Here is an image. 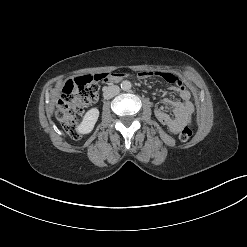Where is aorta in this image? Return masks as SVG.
<instances>
[{
  "mask_svg": "<svg viewBox=\"0 0 247 247\" xmlns=\"http://www.w3.org/2000/svg\"><path fill=\"white\" fill-rule=\"evenodd\" d=\"M131 87H132V84L128 80H125L121 83V89L124 91H129L131 89Z\"/></svg>",
  "mask_w": 247,
  "mask_h": 247,
  "instance_id": "aorta-1",
  "label": "aorta"
}]
</instances>
